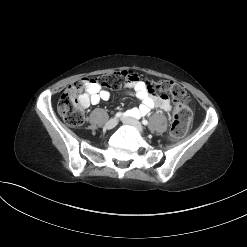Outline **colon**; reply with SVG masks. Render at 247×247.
<instances>
[{
	"label": "colon",
	"mask_w": 247,
	"mask_h": 247,
	"mask_svg": "<svg viewBox=\"0 0 247 247\" xmlns=\"http://www.w3.org/2000/svg\"><path fill=\"white\" fill-rule=\"evenodd\" d=\"M132 72L118 71L100 76L95 82L101 87L120 89L130 80ZM83 80L67 87L58 102V112L66 124L78 128L84 123V108L86 97L83 94ZM154 92L169 93L176 104L175 113L170 128L172 139L182 138L188 131L191 122V111L187 105L189 95L176 82L161 80L152 86Z\"/></svg>",
	"instance_id": "1"
}]
</instances>
